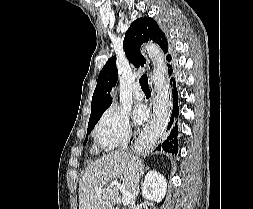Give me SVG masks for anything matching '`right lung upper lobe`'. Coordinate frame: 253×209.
I'll list each match as a JSON object with an SVG mask.
<instances>
[{"label":"right lung upper lobe","mask_w":253,"mask_h":209,"mask_svg":"<svg viewBox=\"0 0 253 209\" xmlns=\"http://www.w3.org/2000/svg\"><path fill=\"white\" fill-rule=\"evenodd\" d=\"M148 41L157 43L165 54L168 53L169 43L165 34L158 27L157 22L149 17L138 18L130 25L124 38V51L135 67L143 66L146 63L145 58L140 53V46ZM166 59L170 62L171 55L168 54ZM167 66L168 72L172 71L171 65L167 64ZM117 79L116 57H111L98 76L92 97L90 119L101 117L103 112L111 105L110 91L116 85Z\"/></svg>","instance_id":"right-lung-upper-lobe-1"}]
</instances>
